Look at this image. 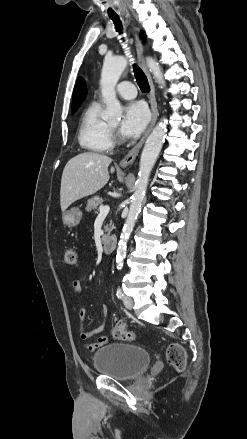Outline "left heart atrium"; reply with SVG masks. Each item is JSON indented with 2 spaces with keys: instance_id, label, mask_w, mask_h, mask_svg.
<instances>
[{
  "instance_id": "39dd6f15",
  "label": "left heart atrium",
  "mask_w": 247,
  "mask_h": 439,
  "mask_svg": "<svg viewBox=\"0 0 247 439\" xmlns=\"http://www.w3.org/2000/svg\"><path fill=\"white\" fill-rule=\"evenodd\" d=\"M149 121V111L142 102L129 103L124 109L120 133L126 138L139 136Z\"/></svg>"
}]
</instances>
